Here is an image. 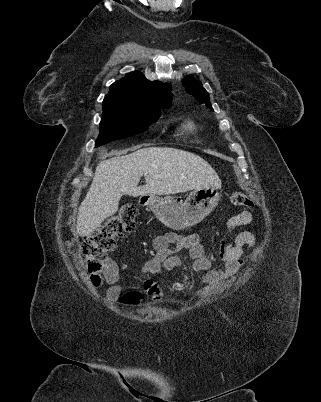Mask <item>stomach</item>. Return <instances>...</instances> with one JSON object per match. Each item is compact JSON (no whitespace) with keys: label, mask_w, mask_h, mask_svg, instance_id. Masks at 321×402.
Segmentation results:
<instances>
[{"label":"stomach","mask_w":321,"mask_h":402,"mask_svg":"<svg viewBox=\"0 0 321 402\" xmlns=\"http://www.w3.org/2000/svg\"><path fill=\"white\" fill-rule=\"evenodd\" d=\"M219 188L202 187L193 190L185 201L174 196L148 195L146 205L157 219L173 230H181L201 222L217 206Z\"/></svg>","instance_id":"obj_1"}]
</instances>
